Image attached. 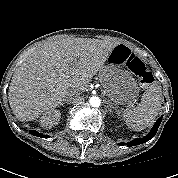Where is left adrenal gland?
<instances>
[{
    "mask_svg": "<svg viewBox=\"0 0 178 178\" xmlns=\"http://www.w3.org/2000/svg\"><path fill=\"white\" fill-rule=\"evenodd\" d=\"M108 107H109L110 112L112 111V109H115V108H116V107H115L111 102H109V101H108Z\"/></svg>",
    "mask_w": 178,
    "mask_h": 178,
    "instance_id": "a2214340",
    "label": "left adrenal gland"
}]
</instances>
